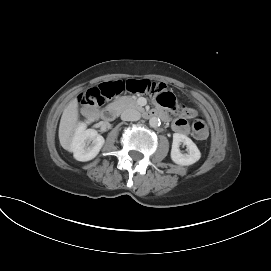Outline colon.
I'll list each match as a JSON object with an SVG mask.
<instances>
[{
  "label": "colon",
  "instance_id": "5ec220e1",
  "mask_svg": "<svg viewBox=\"0 0 271 271\" xmlns=\"http://www.w3.org/2000/svg\"><path fill=\"white\" fill-rule=\"evenodd\" d=\"M123 92L148 94L153 96L157 103L163 107L175 108L176 106V100L172 93L165 89H159L157 83L147 79H127L102 83L81 94L79 102L86 107H98L103 104L106 98L114 97ZM184 112L187 115L192 113L188 108H185ZM192 128L196 139L203 140L207 137L208 128L203 118H195Z\"/></svg>",
  "mask_w": 271,
  "mask_h": 271
}]
</instances>
